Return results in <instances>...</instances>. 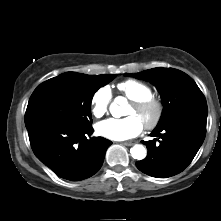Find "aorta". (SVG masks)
Wrapping results in <instances>:
<instances>
[{"mask_svg":"<svg viewBox=\"0 0 221 221\" xmlns=\"http://www.w3.org/2000/svg\"><path fill=\"white\" fill-rule=\"evenodd\" d=\"M120 103H121V98L117 97L115 99V102H113L110 105V112L113 116H117L120 113V110H121L119 106ZM130 153H131V156L137 160H142L146 157V149L144 148L143 145H140V144L134 145L130 149Z\"/></svg>","mask_w":221,"mask_h":221,"instance_id":"762f6f07","label":"aorta"}]
</instances>
